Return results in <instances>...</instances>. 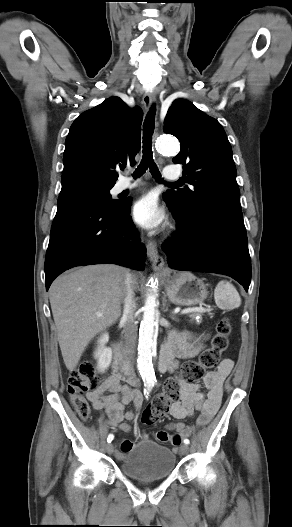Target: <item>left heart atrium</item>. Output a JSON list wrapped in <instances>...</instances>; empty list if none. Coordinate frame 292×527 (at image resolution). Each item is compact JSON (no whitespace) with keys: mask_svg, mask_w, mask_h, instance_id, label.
I'll use <instances>...</instances> for the list:
<instances>
[{"mask_svg":"<svg viewBox=\"0 0 292 527\" xmlns=\"http://www.w3.org/2000/svg\"><path fill=\"white\" fill-rule=\"evenodd\" d=\"M134 220L146 229H152L161 224L163 212L158 207L156 199L152 195H145L138 199L132 208Z\"/></svg>","mask_w":292,"mask_h":527,"instance_id":"obj_1","label":"left heart atrium"}]
</instances>
